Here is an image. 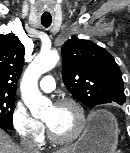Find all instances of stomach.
Returning a JSON list of instances; mask_svg holds the SVG:
<instances>
[{"instance_id": "0dacf381", "label": "stomach", "mask_w": 130, "mask_h": 153, "mask_svg": "<svg viewBox=\"0 0 130 153\" xmlns=\"http://www.w3.org/2000/svg\"><path fill=\"white\" fill-rule=\"evenodd\" d=\"M118 134L115 117L109 112L99 111L91 118L88 128L76 142L72 153H113Z\"/></svg>"}]
</instances>
